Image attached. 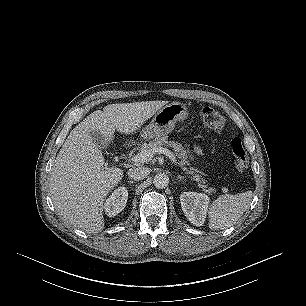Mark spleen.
<instances>
[{"label": "spleen", "instance_id": "1", "mask_svg": "<svg viewBox=\"0 0 306 306\" xmlns=\"http://www.w3.org/2000/svg\"><path fill=\"white\" fill-rule=\"evenodd\" d=\"M252 195V191H247L218 197L209 209V228L222 230L231 227L247 210Z\"/></svg>", "mask_w": 306, "mask_h": 306}]
</instances>
